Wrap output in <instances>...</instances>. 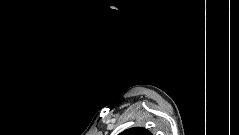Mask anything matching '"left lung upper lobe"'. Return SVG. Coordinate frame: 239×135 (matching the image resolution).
Wrapping results in <instances>:
<instances>
[{"label":"left lung upper lobe","instance_id":"obj_1","mask_svg":"<svg viewBox=\"0 0 239 135\" xmlns=\"http://www.w3.org/2000/svg\"><path fill=\"white\" fill-rule=\"evenodd\" d=\"M120 135H152L147 129L134 127L120 133Z\"/></svg>","mask_w":239,"mask_h":135}]
</instances>
